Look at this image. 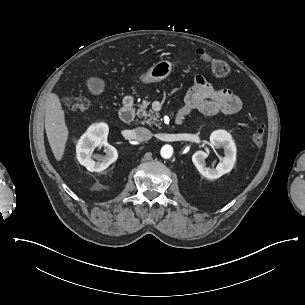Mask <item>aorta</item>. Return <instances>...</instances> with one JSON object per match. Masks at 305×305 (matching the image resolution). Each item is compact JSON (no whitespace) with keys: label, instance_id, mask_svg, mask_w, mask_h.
<instances>
[{"label":"aorta","instance_id":"aorta-1","mask_svg":"<svg viewBox=\"0 0 305 305\" xmlns=\"http://www.w3.org/2000/svg\"><path fill=\"white\" fill-rule=\"evenodd\" d=\"M160 154L164 159H169L173 154L172 146L168 144L164 145L160 150Z\"/></svg>","mask_w":305,"mask_h":305}]
</instances>
